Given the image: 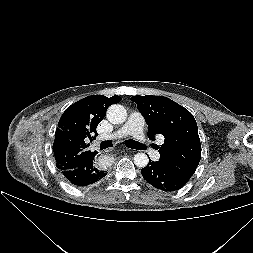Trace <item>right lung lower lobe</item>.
<instances>
[{
    "label": "right lung lower lobe",
    "mask_w": 253,
    "mask_h": 253,
    "mask_svg": "<svg viewBox=\"0 0 253 253\" xmlns=\"http://www.w3.org/2000/svg\"><path fill=\"white\" fill-rule=\"evenodd\" d=\"M65 178L75 186L84 187L91 185L107 175V171L100 170L95 165V160L87 162L75 169L62 171Z\"/></svg>",
    "instance_id": "98d812e1"
}]
</instances>
